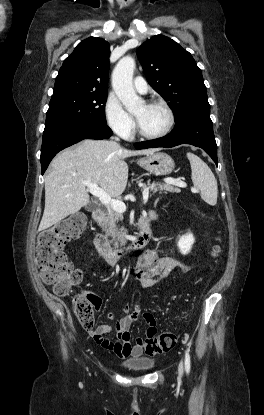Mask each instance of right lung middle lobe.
I'll return each mask as SVG.
<instances>
[{
  "label": "right lung middle lobe",
  "instance_id": "obj_1",
  "mask_svg": "<svg viewBox=\"0 0 264 415\" xmlns=\"http://www.w3.org/2000/svg\"><path fill=\"white\" fill-rule=\"evenodd\" d=\"M107 92H66L52 95L45 129L78 122L106 123Z\"/></svg>",
  "mask_w": 264,
  "mask_h": 415
}]
</instances>
